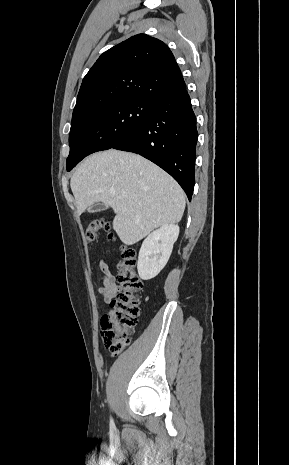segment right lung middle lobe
I'll list each match as a JSON object with an SVG mask.
<instances>
[{
	"mask_svg": "<svg viewBox=\"0 0 289 465\" xmlns=\"http://www.w3.org/2000/svg\"><path fill=\"white\" fill-rule=\"evenodd\" d=\"M153 108V101L136 99L93 110L71 127L67 171L87 155L110 149L115 143L124 140L152 115Z\"/></svg>",
	"mask_w": 289,
	"mask_h": 465,
	"instance_id": "dd1d6c3e",
	"label": "right lung middle lobe"
}]
</instances>
